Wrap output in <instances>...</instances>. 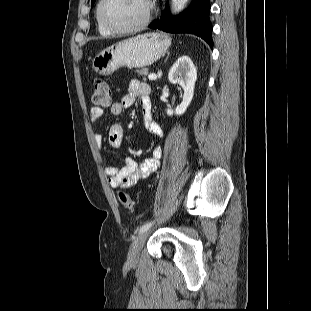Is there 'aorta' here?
<instances>
[{"label":"aorta","instance_id":"762f6f07","mask_svg":"<svg viewBox=\"0 0 311 311\" xmlns=\"http://www.w3.org/2000/svg\"><path fill=\"white\" fill-rule=\"evenodd\" d=\"M188 0H172V13L178 14L186 6Z\"/></svg>","mask_w":311,"mask_h":311}]
</instances>
